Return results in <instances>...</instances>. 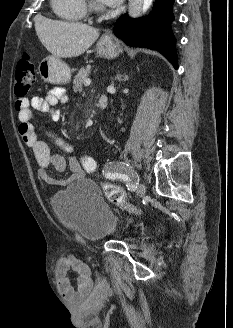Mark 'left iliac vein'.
<instances>
[{"label":"left iliac vein","mask_w":233,"mask_h":328,"mask_svg":"<svg viewBox=\"0 0 233 328\" xmlns=\"http://www.w3.org/2000/svg\"><path fill=\"white\" fill-rule=\"evenodd\" d=\"M127 174L130 176L132 183L137 188V195L139 197H143L146 193V188H145L144 184L139 182V177H138L137 173L131 169H127Z\"/></svg>","instance_id":"left-iliac-vein-1"}]
</instances>
